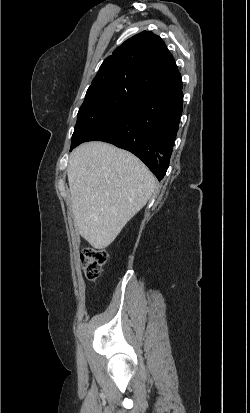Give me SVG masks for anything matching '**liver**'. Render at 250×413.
Here are the masks:
<instances>
[{
    "label": "liver",
    "mask_w": 250,
    "mask_h": 413,
    "mask_svg": "<svg viewBox=\"0 0 250 413\" xmlns=\"http://www.w3.org/2000/svg\"><path fill=\"white\" fill-rule=\"evenodd\" d=\"M67 174L75 227L96 249L115 240L155 189V178L143 162L105 142L78 146Z\"/></svg>",
    "instance_id": "liver-1"
}]
</instances>
